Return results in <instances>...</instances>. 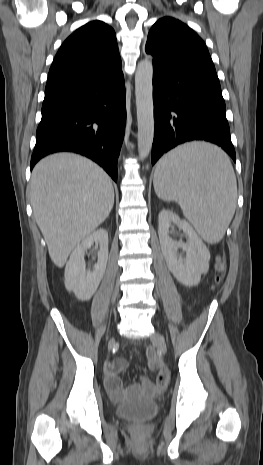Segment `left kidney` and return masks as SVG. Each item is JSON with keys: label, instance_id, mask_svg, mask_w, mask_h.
<instances>
[{"label": "left kidney", "instance_id": "5707ae66", "mask_svg": "<svg viewBox=\"0 0 263 465\" xmlns=\"http://www.w3.org/2000/svg\"><path fill=\"white\" fill-rule=\"evenodd\" d=\"M158 234L162 252L170 272L183 285H198L201 274L209 269L210 253L194 228L185 220L169 210H161L158 216ZM177 226L188 237V241L174 240L170 236L172 226ZM181 248L186 256L178 254Z\"/></svg>", "mask_w": 263, "mask_h": 465}]
</instances>
